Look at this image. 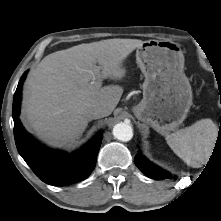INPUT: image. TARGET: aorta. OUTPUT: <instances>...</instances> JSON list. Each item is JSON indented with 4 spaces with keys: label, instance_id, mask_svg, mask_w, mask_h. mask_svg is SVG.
Instances as JSON below:
<instances>
[{
    "label": "aorta",
    "instance_id": "aorta-1",
    "mask_svg": "<svg viewBox=\"0 0 221 221\" xmlns=\"http://www.w3.org/2000/svg\"><path fill=\"white\" fill-rule=\"evenodd\" d=\"M113 136L122 142H127L133 137V129L130 124L125 122H120L116 124L113 128Z\"/></svg>",
    "mask_w": 221,
    "mask_h": 221
}]
</instances>
